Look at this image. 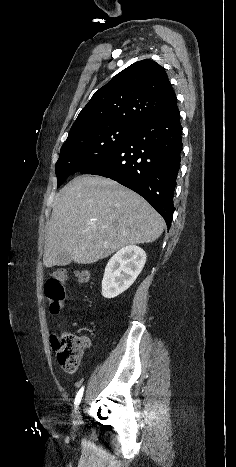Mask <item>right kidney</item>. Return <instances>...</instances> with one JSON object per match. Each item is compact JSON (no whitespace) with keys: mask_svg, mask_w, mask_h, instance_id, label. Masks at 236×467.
<instances>
[{"mask_svg":"<svg viewBox=\"0 0 236 467\" xmlns=\"http://www.w3.org/2000/svg\"><path fill=\"white\" fill-rule=\"evenodd\" d=\"M146 262L145 251L135 245L126 246L108 261L102 280V295L114 298L136 280Z\"/></svg>","mask_w":236,"mask_h":467,"instance_id":"right-kidney-1","label":"right kidney"}]
</instances>
